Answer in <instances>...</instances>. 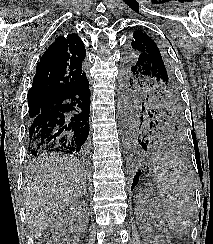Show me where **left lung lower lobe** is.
<instances>
[{
    "instance_id": "0a47b994",
    "label": "left lung lower lobe",
    "mask_w": 213,
    "mask_h": 244,
    "mask_svg": "<svg viewBox=\"0 0 213 244\" xmlns=\"http://www.w3.org/2000/svg\"><path fill=\"white\" fill-rule=\"evenodd\" d=\"M123 122L126 146L133 155L149 151L165 137L153 121L146 120L134 109L126 106L123 110Z\"/></svg>"
}]
</instances>
